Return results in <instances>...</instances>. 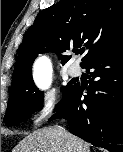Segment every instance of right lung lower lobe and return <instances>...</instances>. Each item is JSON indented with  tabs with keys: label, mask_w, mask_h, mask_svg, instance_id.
Returning a JSON list of instances; mask_svg holds the SVG:
<instances>
[{
	"label": "right lung lower lobe",
	"mask_w": 123,
	"mask_h": 152,
	"mask_svg": "<svg viewBox=\"0 0 123 152\" xmlns=\"http://www.w3.org/2000/svg\"><path fill=\"white\" fill-rule=\"evenodd\" d=\"M87 95L76 86L50 120L68 119L72 134L111 152H123V38L98 52L84 66ZM91 70V72H89Z\"/></svg>",
	"instance_id": "98d812e1"
}]
</instances>
